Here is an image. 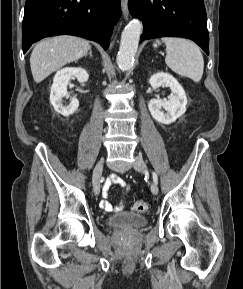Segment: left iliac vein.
<instances>
[{"mask_svg": "<svg viewBox=\"0 0 243 289\" xmlns=\"http://www.w3.org/2000/svg\"><path fill=\"white\" fill-rule=\"evenodd\" d=\"M133 166H134V168H135L137 171H139V172L148 173L146 163L144 162V160H143L142 157L136 156V157L134 158ZM150 188H151V192H152L154 195H157V194H158L159 189H158V186H157V184H156L155 182H152V183H151Z\"/></svg>", "mask_w": 243, "mask_h": 289, "instance_id": "obj_1", "label": "left iliac vein"}]
</instances>
